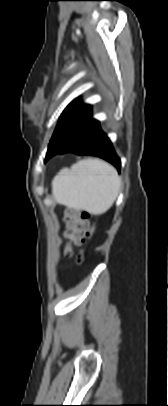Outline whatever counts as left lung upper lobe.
Returning a JSON list of instances; mask_svg holds the SVG:
<instances>
[{
  "instance_id": "obj_1",
  "label": "left lung upper lobe",
  "mask_w": 168,
  "mask_h": 406,
  "mask_svg": "<svg viewBox=\"0 0 168 406\" xmlns=\"http://www.w3.org/2000/svg\"><path fill=\"white\" fill-rule=\"evenodd\" d=\"M90 115V105L82 104L77 99L69 104L54 131L46 155L73 139L83 129Z\"/></svg>"
}]
</instances>
